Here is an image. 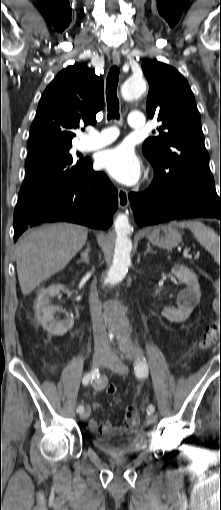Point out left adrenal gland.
<instances>
[{
  "label": "left adrenal gland",
  "mask_w": 221,
  "mask_h": 510,
  "mask_svg": "<svg viewBox=\"0 0 221 510\" xmlns=\"http://www.w3.org/2000/svg\"><path fill=\"white\" fill-rule=\"evenodd\" d=\"M147 253H153V254H155V253H156L155 251H153V250L151 249V246H150V244H149V243H147V249H146V251H145L144 255H146Z\"/></svg>",
  "instance_id": "obj_1"
}]
</instances>
